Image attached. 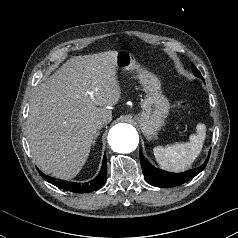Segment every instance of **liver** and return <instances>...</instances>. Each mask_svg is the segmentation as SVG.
I'll list each match as a JSON object with an SVG mask.
<instances>
[{"label":"liver","instance_id":"liver-1","mask_svg":"<svg viewBox=\"0 0 238 238\" xmlns=\"http://www.w3.org/2000/svg\"><path fill=\"white\" fill-rule=\"evenodd\" d=\"M117 51L74 56L40 84L30 101L26 133L33 159L47 175L69 180L84 166L97 122L118 103Z\"/></svg>","mask_w":238,"mask_h":238}]
</instances>
